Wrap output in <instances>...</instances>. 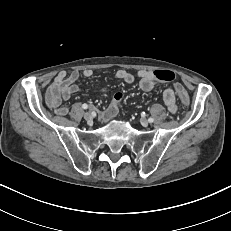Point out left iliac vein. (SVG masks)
<instances>
[{"label": "left iliac vein", "instance_id": "4c4485c4", "mask_svg": "<svg viewBox=\"0 0 231 231\" xmlns=\"http://www.w3.org/2000/svg\"><path fill=\"white\" fill-rule=\"evenodd\" d=\"M141 124H142V126L147 127L148 124H149V121L146 118H142L141 119Z\"/></svg>", "mask_w": 231, "mask_h": 231}]
</instances>
